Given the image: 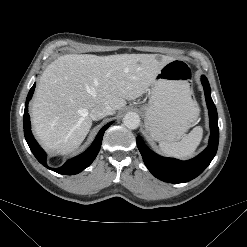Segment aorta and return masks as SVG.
I'll use <instances>...</instances> for the list:
<instances>
[{
  "mask_svg": "<svg viewBox=\"0 0 247 247\" xmlns=\"http://www.w3.org/2000/svg\"><path fill=\"white\" fill-rule=\"evenodd\" d=\"M123 124L129 129H137L140 125V117L135 112H128L123 117Z\"/></svg>",
  "mask_w": 247,
  "mask_h": 247,
  "instance_id": "aorta-1",
  "label": "aorta"
}]
</instances>
